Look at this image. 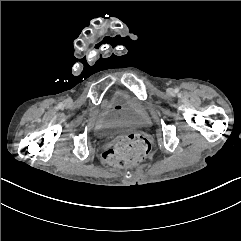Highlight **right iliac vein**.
I'll return each instance as SVG.
<instances>
[{
	"mask_svg": "<svg viewBox=\"0 0 241 241\" xmlns=\"http://www.w3.org/2000/svg\"><path fill=\"white\" fill-rule=\"evenodd\" d=\"M70 100H66V106H69Z\"/></svg>",
	"mask_w": 241,
	"mask_h": 241,
	"instance_id": "1",
	"label": "right iliac vein"
}]
</instances>
